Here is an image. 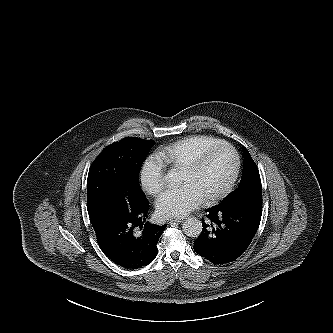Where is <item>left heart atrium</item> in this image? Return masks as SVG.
<instances>
[{"mask_svg":"<svg viewBox=\"0 0 333 333\" xmlns=\"http://www.w3.org/2000/svg\"><path fill=\"white\" fill-rule=\"evenodd\" d=\"M203 200L195 188L184 184L163 192L156 201V208L162 217H183L201 205Z\"/></svg>","mask_w":333,"mask_h":333,"instance_id":"39dd6f15","label":"left heart atrium"}]
</instances>
